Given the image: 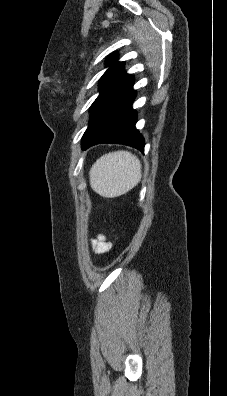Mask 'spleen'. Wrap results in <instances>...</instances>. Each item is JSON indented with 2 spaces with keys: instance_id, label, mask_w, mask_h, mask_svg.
<instances>
[{
  "instance_id": "obj_1",
  "label": "spleen",
  "mask_w": 227,
  "mask_h": 396,
  "mask_svg": "<svg viewBox=\"0 0 227 396\" xmlns=\"http://www.w3.org/2000/svg\"><path fill=\"white\" fill-rule=\"evenodd\" d=\"M91 188L106 198L121 196L141 180V163L130 152L116 151L101 156L91 167Z\"/></svg>"
}]
</instances>
